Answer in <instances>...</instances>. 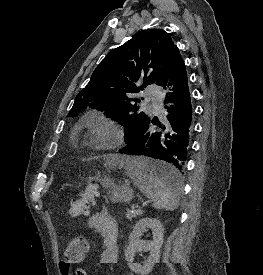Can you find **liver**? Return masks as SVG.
<instances>
[{
	"label": "liver",
	"instance_id": "liver-1",
	"mask_svg": "<svg viewBox=\"0 0 263 275\" xmlns=\"http://www.w3.org/2000/svg\"><path fill=\"white\" fill-rule=\"evenodd\" d=\"M123 160V158L122 157H119V156H116V155H114V156H111L107 161L109 162V163H119V162H121Z\"/></svg>",
	"mask_w": 263,
	"mask_h": 275
}]
</instances>
